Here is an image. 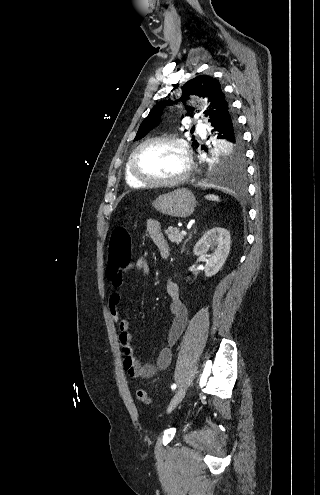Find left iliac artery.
Here are the masks:
<instances>
[{
  "instance_id": "obj_1",
  "label": "left iliac artery",
  "mask_w": 320,
  "mask_h": 495,
  "mask_svg": "<svg viewBox=\"0 0 320 495\" xmlns=\"http://www.w3.org/2000/svg\"><path fill=\"white\" fill-rule=\"evenodd\" d=\"M175 388H176V384H173V385L171 386V389H175Z\"/></svg>"
}]
</instances>
